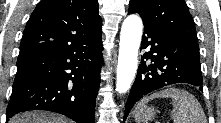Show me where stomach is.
<instances>
[{
	"mask_svg": "<svg viewBox=\"0 0 221 123\" xmlns=\"http://www.w3.org/2000/svg\"><path fill=\"white\" fill-rule=\"evenodd\" d=\"M138 120L136 121H144L147 123V121L151 120L152 118H154V116L157 113V110L153 107V106H147L145 108H143L142 110L138 111ZM135 116V114H134ZM138 123V122H137Z\"/></svg>",
	"mask_w": 221,
	"mask_h": 123,
	"instance_id": "1",
	"label": "stomach"
}]
</instances>
